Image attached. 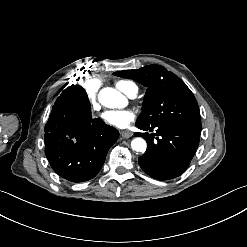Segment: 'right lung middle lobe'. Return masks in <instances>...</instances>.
<instances>
[{
  "label": "right lung middle lobe",
  "instance_id": "1",
  "mask_svg": "<svg viewBox=\"0 0 247 247\" xmlns=\"http://www.w3.org/2000/svg\"><path fill=\"white\" fill-rule=\"evenodd\" d=\"M65 91L86 108H91L86 91L80 85H71Z\"/></svg>",
  "mask_w": 247,
  "mask_h": 247
}]
</instances>
